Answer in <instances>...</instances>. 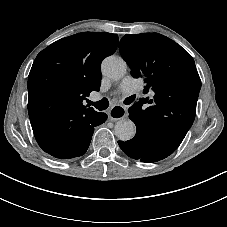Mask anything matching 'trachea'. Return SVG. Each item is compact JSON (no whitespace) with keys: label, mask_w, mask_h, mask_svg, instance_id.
I'll return each mask as SVG.
<instances>
[{"label":"trachea","mask_w":227,"mask_h":227,"mask_svg":"<svg viewBox=\"0 0 227 227\" xmlns=\"http://www.w3.org/2000/svg\"><path fill=\"white\" fill-rule=\"evenodd\" d=\"M135 95H132L130 97H127L125 100H124V104L126 105H129L131 104L134 100H135ZM89 105H93L94 107H96V109H98L99 111H103L105 109L108 108L109 106V101L107 98H103L102 100L100 101H96V102H92V101H89L88 102Z\"/></svg>","instance_id":"obj_1"}]
</instances>
